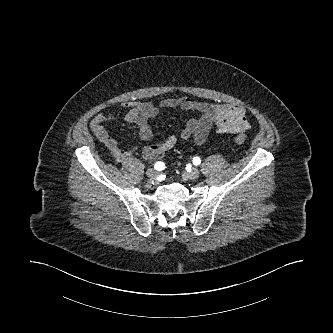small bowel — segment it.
Segmentation results:
<instances>
[{
	"instance_id": "small-bowel-1",
	"label": "small bowel",
	"mask_w": 333,
	"mask_h": 333,
	"mask_svg": "<svg viewBox=\"0 0 333 333\" xmlns=\"http://www.w3.org/2000/svg\"><path fill=\"white\" fill-rule=\"evenodd\" d=\"M162 110L197 111L200 116L199 118L188 119L179 137L170 135L150 145L143 146L141 148L142 155L149 160L161 158L177 144L179 139L192 141L196 144L203 143L213 127L221 134H242L251 127L241 106L233 104L213 105L182 96L166 98L159 105L144 101L123 103L118 111L96 114L90 122V129L96 138L108 148L113 158L122 163L132 157L138 149L136 147L121 148L118 141L105 128V124L115 121L120 112L125 111V120L137 125L140 138L149 141L153 138L149 120L157 116Z\"/></svg>"
}]
</instances>
